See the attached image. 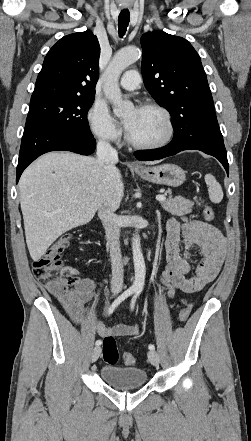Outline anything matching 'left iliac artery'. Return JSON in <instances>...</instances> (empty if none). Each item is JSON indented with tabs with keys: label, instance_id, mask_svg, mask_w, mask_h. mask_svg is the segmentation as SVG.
Instances as JSON below:
<instances>
[{
	"label": "left iliac artery",
	"instance_id": "44dca946",
	"mask_svg": "<svg viewBox=\"0 0 251 441\" xmlns=\"http://www.w3.org/2000/svg\"><path fill=\"white\" fill-rule=\"evenodd\" d=\"M140 293H141V290H140V289H138V290L135 291V295L133 296V298H132V300H131V304H130V308H131V310L134 309L136 299H137V297L139 296ZM148 348H149L150 350H155V346H154L153 344H149Z\"/></svg>",
	"mask_w": 251,
	"mask_h": 441
}]
</instances>
